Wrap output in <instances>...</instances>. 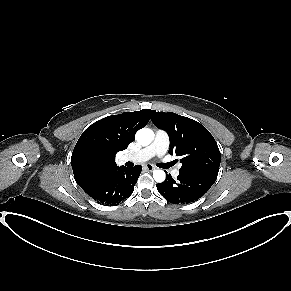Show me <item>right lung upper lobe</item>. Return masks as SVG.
I'll use <instances>...</instances> for the list:
<instances>
[{
	"mask_svg": "<svg viewBox=\"0 0 291 291\" xmlns=\"http://www.w3.org/2000/svg\"><path fill=\"white\" fill-rule=\"evenodd\" d=\"M151 112L143 109L108 116L82 133L71 157L75 180L82 189L119 168L115 162L116 153L134 140L137 130L148 123Z\"/></svg>",
	"mask_w": 291,
	"mask_h": 291,
	"instance_id": "cb5924a9",
	"label": "right lung upper lobe"
}]
</instances>
